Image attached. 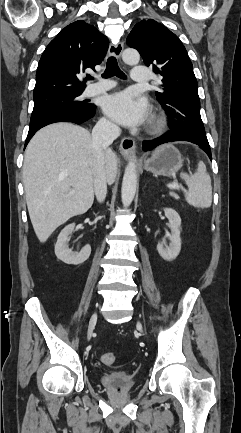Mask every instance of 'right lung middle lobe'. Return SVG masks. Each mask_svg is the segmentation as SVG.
Returning <instances> with one entry per match:
<instances>
[{
  "instance_id": "right-lung-middle-lobe-1",
  "label": "right lung middle lobe",
  "mask_w": 241,
  "mask_h": 433,
  "mask_svg": "<svg viewBox=\"0 0 241 433\" xmlns=\"http://www.w3.org/2000/svg\"><path fill=\"white\" fill-rule=\"evenodd\" d=\"M81 94L82 91H55L34 97L30 125L56 112L87 109L89 104L78 100Z\"/></svg>"
}]
</instances>
